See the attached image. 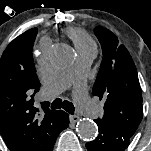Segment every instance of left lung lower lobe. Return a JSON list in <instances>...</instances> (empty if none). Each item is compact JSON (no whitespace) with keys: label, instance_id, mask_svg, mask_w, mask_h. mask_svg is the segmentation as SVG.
Segmentation results:
<instances>
[{"label":"left lung lower lobe","instance_id":"left-lung-lower-lobe-1","mask_svg":"<svg viewBox=\"0 0 151 151\" xmlns=\"http://www.w3.org/2000/svg\"><path fill=\"white\" fill-rule=\"evenodd\" d=\"M99 134L94 141L86 143L88 151H124L130 138L127 134L97 123Z\"/></svg>","mask_w":151,"mask_h":151}]
</instances>
